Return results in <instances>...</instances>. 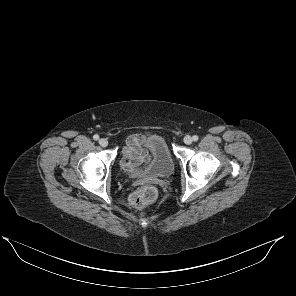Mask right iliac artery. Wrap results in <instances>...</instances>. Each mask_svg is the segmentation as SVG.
<instances>
[{"label":"right iliac artery","instance_id":"82829eb1","mask_svg":"<svg viewBox=\"0 0 296 296\" xmlns=\"http://www.w3.org/2000/svg\"><path fill=\"white\" fill-rule=\"evenodd\" d=\"M93 139H94V140H98V139H99V136H98L97 134H95V135L93 136Z\"/></svg>","mask_w":296,"mask_h":296}]
</instances>
